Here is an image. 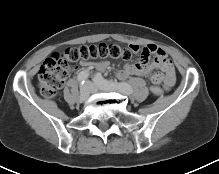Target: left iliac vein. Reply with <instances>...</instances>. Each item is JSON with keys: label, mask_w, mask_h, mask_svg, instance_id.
<instances>
[{"label": "left iliac vein", "mask_w": 219, "mask_h": 174, "mask_svg": "<svg viewBox=\"0 0 219 174\" xmlns=\"http://www.w3.org/2000/svg\"><path fill=\"white\" fill-rule=\"evenodd\" d=\"M87 85L90 87L91 93H96L99 90H102V91H112V89H110V88L94 85L91 82H87Z\"/></svg>", "instance_id": "obj_1"}]
</instances>
